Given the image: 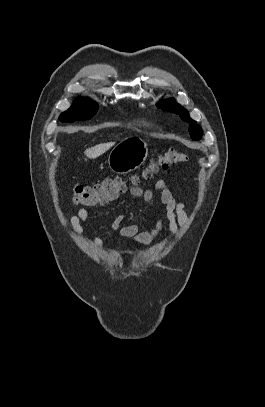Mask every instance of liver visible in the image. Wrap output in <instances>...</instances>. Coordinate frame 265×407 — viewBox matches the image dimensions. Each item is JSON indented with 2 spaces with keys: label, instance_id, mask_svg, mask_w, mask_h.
I'll return each instance as SVG.
<instances>
[{
  "label": "liver",
  "instance_id": "6515ba94",
  "mask_svg": "<svg viewBox=\"0 0 265 407\" xmlns=\"http://www.w3.org/2000/svg\"><path fill=\"white\" fill-rule=\"evenodd\" d=\"M114 144L115 142L101 143L86 149L84 153L88 158L94 159L108 151Z\"/></svg>",
  "mask_w": 265,
  "mask_h": 407
}]
</instances>
